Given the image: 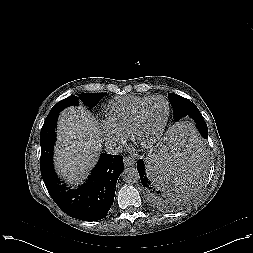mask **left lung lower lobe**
I'll return each instance as SVG.
<instances>
[{
  "label": "left lung lower lobe",
  "instance_id": "0a47b994",
  "mask_svg": "<svg viewBox=\"0 0 253 253\" xmlns=\"http://www.w3.org/2000/svg\"><path fill=\"white\" fill-rule=\"evenodd\" d=\"M186 156L190 165L186 171L176 172L171 183L174 186L166 178L158 180L150 171L147 174L143 159L137 162V170L143 186L147 188L149 202L156 209L166 211L178 207L195 192L201 182L207 162L203 140L197 137Z\"/></svg>",
  "mask_w": 253,
  "mask_h": 253
}]
</instances>
